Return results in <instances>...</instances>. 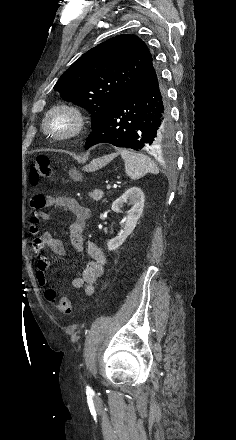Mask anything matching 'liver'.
<instances>
[{"label": "liver", "mask_w": 236, "mask_h": 440, "mask_svg": "<svg viewBox=\"0 0 236 440\" xmlns=\"http://www.w3.org/2000/svg\"><path fill=\"white\" fill-rule=\"evenodd\" d=\"M112 159V157H104L102 159H97L98 161H100V165L99 167L104 166L106 163H108L110 160Z\"/></svg>", "instance_id": "6515ba94"}]
</instances>
